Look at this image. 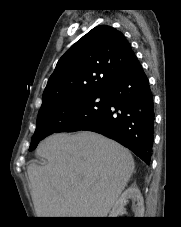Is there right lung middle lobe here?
Returning a JSON list of instances; mask_svg holds the SVG:
<instances>
[{"instance_id":"right-lung-middle-lobe-1","label":"right lung middle lobe","mask_w":181,"mask_h":227,"mask_svg":"<svg viewBox=\"0 0 181 227\" xmlns=\"http://www.w3.org/2000/svg\"><path fill=\"white\" fill-rule=\"evenodd\" d=\"M108 103L109 93L105 90L39 110L29 150H34L39 141L53 133L82 130L107 108Z\"/></svg>"}]
</instances>
